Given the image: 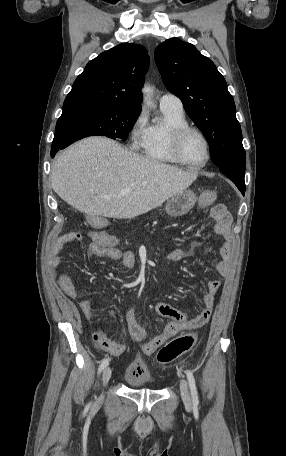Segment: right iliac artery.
I'll list each match as a JSON object with an SVG mask.
<instances>
[{
    "instance_id": "obj_1",
    "label": "right iliac artery",
    "mask_w": 286,
    "mask_h": 456,
    "mask_svg": "<svg viewBox=\"0 0 286 456\" xmlns=\"http://www.w3.org/2000/svg\"><path fill=\"white\" fill-rule=\"evenodd\" d=\"M109 364V358H106L104 360H102L99 368H98V374H100L102 372V370Z\"/></svg>"
}]
</instances>
